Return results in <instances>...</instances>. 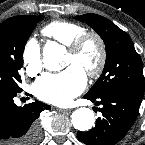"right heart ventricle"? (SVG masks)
<instances>
[{"label": "right heart ventricle", "mask_w": 145, "mask_h": 145, "mask_svg": "<svg viewBox=\"0 0 145 145\" xmlns=\"http://www.w3.org/2000/svg\"><path fill=\"white\" fill-rule=\"evenodd\" d=\"M41 32L44 36L68 46L76 37L86 32V28L71 21L56 20L45 25Z\"/></svg>", "instance_id": "obj_1"}]
</instances>
